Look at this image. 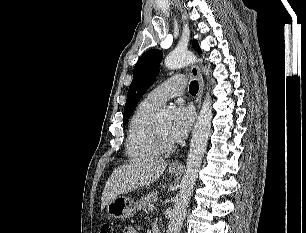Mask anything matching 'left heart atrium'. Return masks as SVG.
<instances>
[{
	"mask_svg": "<svg viewBox=\"0 0 306 233\" xmlns=\"http://www.w3.org/2000/svg\"><path fill=\"white\" fill-rule=\"evenodd\" d=\"M194 121V111L184 102L174 107V118L170 125L168 137L172 142L182 141L188 134Z\"/></svg>",
	"mask_w": 306,
	"mask_h": 233,
	"instance_id": "39dd6f15",
	"label": "left heart atrium"
}]
</instances>
